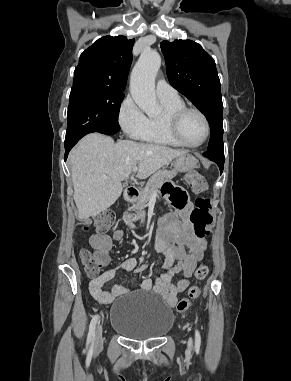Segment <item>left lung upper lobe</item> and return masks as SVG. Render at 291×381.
Returning a JSON list of instances; mask_svg holds the SVG:
<instances>
[{
    "instance_id": "left-lung-upper-lobe-1",
    "label": "left lung upper lobe",
    "mask_w": 291,
    "mask_h": 381,
    "mask_svg": "<svg viewBox=\"0 0 291 381\" xmlns=\"http://www.w3.org/2000/svg\"><path fill=\"white\" fill-rule=\"evenodd\" d=\"M171 85L206 116L211 135L208 152H224L223 103L214 59L191 40L162 41Z\"/></svg>"
}]
</instances>
